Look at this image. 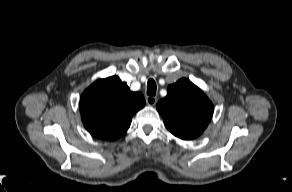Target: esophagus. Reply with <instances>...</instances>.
Returning a JSON list of instances; mask_svg holds the SVG:
<instances>
[{
  "label": "esophagus",
  "mask_w": 292,
  "mask_h": 192,
  "mask_svg": "<svg viewBox=\"0 0 292 192\" xmlns=\"http://www.w3.org/2000/svg\"><path fill=\"white\" fill-rule=\"evenodd\" d=\"M146 103L150 106H154L157 103V98L153 96H147Z\"/></svg>",
  "instance_id": "1"
}]
</instances>
